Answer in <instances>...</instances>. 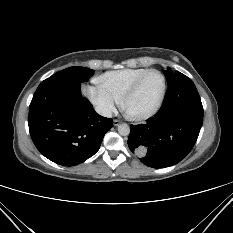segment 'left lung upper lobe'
<instances>
[{"instance_id": "obj_1", "label": "left lung upper lobe", "mask_w": 233, "mask_h": 233, "mask_svg": "<svg viewBox=\"0 0 233 233\" xmlns=\"http://www.w3.org/2000/svg\"><path fill=\"white\" fill-rule=\"evenodd\" d=\"M164 74H165V77H166V79H167V82L169 83L170 82V80H171V77H172V72H171V69L170 68H168L166 71H164Z\"/></svg>"}]
</instances>
